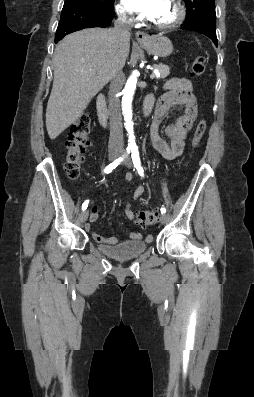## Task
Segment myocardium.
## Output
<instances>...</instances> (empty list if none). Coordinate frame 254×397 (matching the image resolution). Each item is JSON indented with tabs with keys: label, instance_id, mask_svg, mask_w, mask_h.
I'll return each mask as SVG.
<instances>
[{
	"label": "myocardium",
	"instance_id": "1",
	"mask_svg": "<svg viewBox=\"0 0 254 397\" xmlns=\"http://www.w3.org/2000/svg\"><path fill=\"white\" fill-rule=\"evenodd\" d=\"M175 8H176V17L173 21L169 22V23H165V24H158V23H153V26L159 30H171L174 29L176 27H178L179 25L182 24V22L185 19V15H186V11L185 8L183 6V4L179 1V0H172Z\"/></svg>",
	"mask_w": 254,
	"mask_h": 397
}]
</instances>
